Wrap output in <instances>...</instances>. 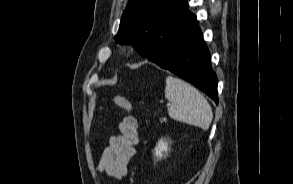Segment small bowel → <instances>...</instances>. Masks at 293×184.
Instances as JSON below:
<instances>
[{"mask_svg":"<svg viewBox=\"0 0 293 184\" xmlns=\"http://www.w3.org/2000/svg\"><path fill=\"white\" fill-rule=\"evenodd\" d=\"M119 133L110 136L100 157L97 170L117 180L127 175L128 164L138 144V121L134 116L124 117L118 124Z\"/></svg>","mask_w":293,"mask_h":184,"instance_id":"obj_1","label":"small bowel"}]
</instances>
